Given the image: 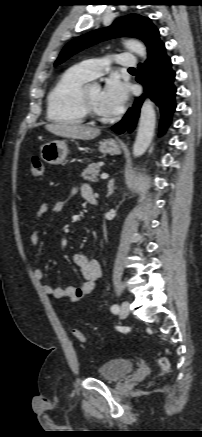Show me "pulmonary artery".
I'll list each match as a JSON object with an SVG mask.
<instances>
[{"label": "pulmonary artery", "mask_w": 202, "mask_h": 437, "mask_svg": "<svg viewBox=\"0 0 202 437\" xmlns=\"http://www.w3.org/2000/svg\"><path fill=\"white\" fill-rule=\"evenodd\" d=\"M115 63L123 68H135L137 65L136 58L130 53H121L113 57ZM110 65L108 59H88L77 65V67L86 75L89 79L96 78L103 75Z\"/></svg>", "instance_id": "obj_1"}]
</instances>
